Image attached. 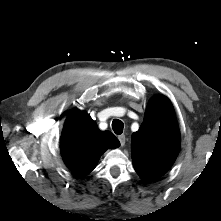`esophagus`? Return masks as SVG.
Here are the masks:
<instances>
[{"mask_svg": "<svg viewBox=\"0 0 221 221\" xmlns=\"http://www.w3.org/2000/svg\"><path fill=\"white\" fill-rule=\"evenodd\" d=\"M118 139H119V141H120V145L123 147V146L125 145V141H126L125 135H124V134L119 135V136H118Z\"/></svg>", "mask_w": 221, "mask_h": 221, "instance_id": "esophagus-1", "label": "esophagus"}]
</instances>
